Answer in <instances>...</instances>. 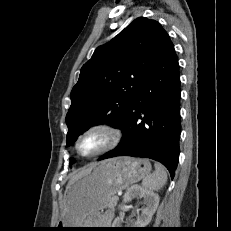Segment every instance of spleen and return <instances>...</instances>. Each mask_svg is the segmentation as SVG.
Masks as SVG:
<instances>
[{
	"mask_svg": "<svg viewBox=\"0 0 231 231\" xmlns=\"http://www.w3.org/2000/svg\"><path fill=\"white\" fill-rule=\"evenodd\" d=\"M154 166L155 171L147 175L142 181V186L149 191H158L163 188L167 182V172L165 168L159 163H155Z\"/></svg>",
	"mask_w": 231,
	"mask_h": 231,
	"instance_id": "3e777b00",
	"label": "spleen"
}]
</instances>
